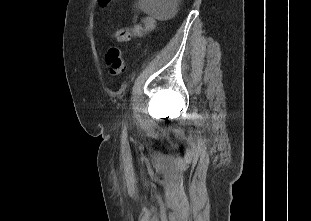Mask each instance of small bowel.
<instances>
[{"label": "small bowel", "mask_w": 311, "mask_h": 221, "mask_svg": "<svg viewBox=\"0 0 311 221\" xmlns=\"http://www.w3.org/2000/svg\"><path fill=\"white\" fill-rule=\"evenodd\" d=\"M131 31L135 36H141L145 32L155 28L156 20L151 16H134L131 21Z\"/></svg>", "instance_id": "small-bowel-1"}]
</instances>
